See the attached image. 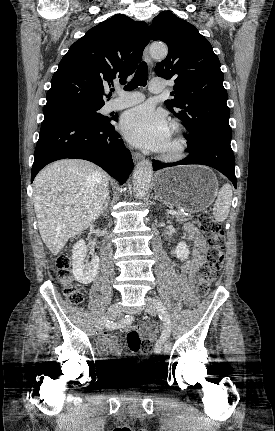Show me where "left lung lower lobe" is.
<instances>
[{"label":"left lung lower lobe","instance_id":"obj_1","mask_svg":"<svg viewBox=\"0 0 275 431\" xmlns=\"http://www.w3.org/2000/svg\"><path fill=\"white\" fill-rule=\"evenodd\" d=\"M229 139H200L187 143L190 154L183 160L175 163H160L153 161V169L187 164H201L213 167L223 173L236 188L235 158Z\"/></svg>","mask_w":275,"mask_h":431}]
</instances>
